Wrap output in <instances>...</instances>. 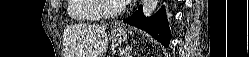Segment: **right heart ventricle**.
Segmentation results:
<instances>
[{
    "mask_svg": "<svg viewBox=\"0 0 249 57\" xmlns=\"http://www.w3.org/2000/svg\"><path fill=\"white\" fill-rule=\"evenodd\" d=\"M67 13L72 20L96 21L102 18L95 0H68Z\"/></svg>",
    "mask_w": 249,
    "mask_h": 57,
    "instance_id": "e07e8e85",
    "label": "right heart ventricle"
}]
</instances>
